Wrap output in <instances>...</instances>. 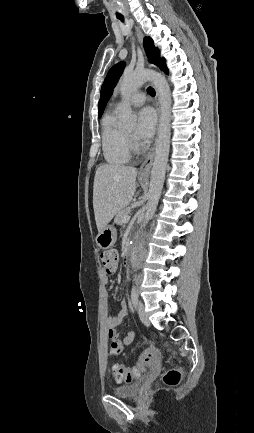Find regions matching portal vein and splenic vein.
Returning <instances> with one entry per match:
<instances>
[{"mask_svg": "<svg viewBox=\"0 0 254 433\" xmlns=\"http://www.w3.org/2000/svg\"><path fill=\"white\" fill-rule=\"evenodd\" d=\"M130 220V216H124L123 217V222L127 223Z\"/></svg>", "mask_w": 254, "mask_h": 433, "instance_id": "portal-vein-and-splenic-vein-1", "label": "portal vein and splenic vein"}]
</instances>
